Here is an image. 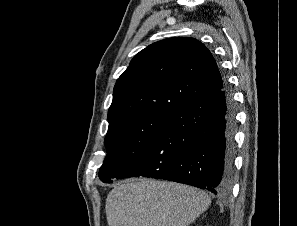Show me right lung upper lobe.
<instances>
[{"instance_id":"right-lung-upper-lobe-1","label":"right lung upper lobe","mask_w":297,"mask_h":226,"mask_svg":"<svg viewBox=\"0 0 297 226\" xmlns=\"http://www.w3.org/2000/svg\"><path fill=\"white\" fill-rule=\"evenodd\" d=\"M211 52L197 39L173 37L153 43L118 78L109 125L150 112H173L184 103L223 89Z\"/></svg>"}]
</instances>
